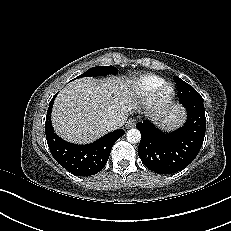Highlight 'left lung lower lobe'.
<instances>
[{
	"label": "left lung lower lobe",
	"instance_id": "0a47b994",
	"mask_svg": "<svg viewBox=\"0 0 231 231\" xmlns=\"http://www.w3.org/2000/svg\"><path fill=\"white\" fill-rule=\"evenodd\" d=\"M180 103L188 112L184 126L173 132H162L148 120L136 124L141 133L138 155L144 165L158 174L176 173L198 155L204 141L206 117L203 100Z\"/></svg>",
	"mask_w": 231,
	"mask_h": 231
}]
</instances>
